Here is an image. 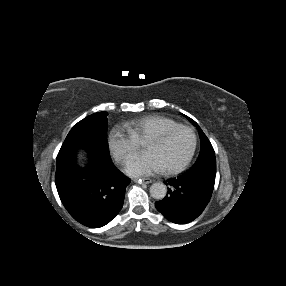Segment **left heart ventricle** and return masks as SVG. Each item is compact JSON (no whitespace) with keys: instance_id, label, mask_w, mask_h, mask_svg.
I'll return each mask as SVG.
<instances>
[{"instance_id":"obj_1","label":"left heart ventricle","mask_w":286,"mask_h":286,"mask_svg":"<svg viewBox=\"0 0 286 286\" xmlns=\"http://www.w3.org/2000/svg\"><path fill=\"white\" fill-rule=\"evenodd\" d=\"M193 142L192 133L182 130L161 142L145 141L144 147L153 153L162 168H165L181 163L191 151Z\"/></svg>"}]
</instances>
